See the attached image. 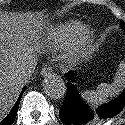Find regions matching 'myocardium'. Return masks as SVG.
Listing matches in <instances>:
<instances>
[{"label":"myocardium","mask_w":125,"mask_h":125,"mask_svg":"<svg viewBox=\"0 0 125 125\" xmlns=\"http://www.w3.org/2000/svg\"><path fill=\"white\" fill-rule=\"evenodd\" d=\"M94 43L92 35H83L75 44L71 45L68 49V54L71 59H80L87 56Z\"/></svg>","instance_id":"obj_1"}]
</instances>
